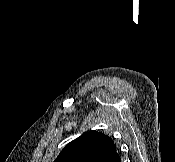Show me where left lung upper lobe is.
<instances>
[{
    "label": "left lung upper lobe",
    "instance_id": "left-lung-upper-lobe-1",
    "mask_svg": "<svg viewBox=\"0 0 175 162\" xmlns=\"http://www.w3.org/2000/svg\"><path fill=\"white\" fill-rule=\"evenodd\" d=\"M115 149L109 136L89 131L68 143L54 162H105Z\"/></svg>",
    "mask_w": 175,
    "mask_h": 162
}]
</instances>
